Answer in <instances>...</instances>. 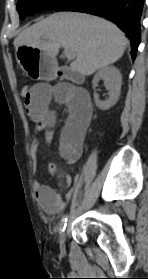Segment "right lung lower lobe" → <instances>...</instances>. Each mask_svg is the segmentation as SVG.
<instances>
[{"label":"right lung lower lobe","instance_id":"obj_1","mask_svg":"<svg viewBox=\"0 0 148 279\" xmlns=\"http://www.w3.org/2000/svg\"><path fill=\"white\" fill-rule=\"evenodd\" d=\"M144 0H76L55 8L57 11H78L105 17L123 30L131 41L135 59L141 35Z\"/></svg>","mask_w":148,"mask_h":279}]
</instances>
